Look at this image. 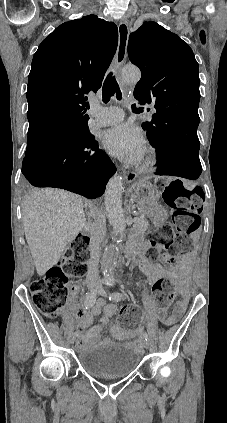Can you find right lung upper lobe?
I'll return each mask as SVG.
<instances>
[{"mask_svg": "<svg viewBox=\"0 0 227 423\" xmlns=\"http://www.w3.org/2000/svg\"><path fill=\"white\" fill-rule=\"evenodd\" d=\"M117 45V26L95 15L61 24L42 41L28 79L25 154L89 132L86 95L101 87Z\"/></svg>", "mask_w": 227, "mask_h": 423, "instance_id": "right-lung-upper-lobe-1", "label": "right lung upper lobe"}]
</instances>
